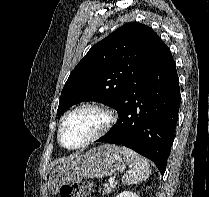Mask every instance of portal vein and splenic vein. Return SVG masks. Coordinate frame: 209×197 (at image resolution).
<instances>
[{
	"instance_id": "18ae733b",
	"label": "portal vein and splenic vein",
	"mask_w": 209,
	"mask_h": 197,
	"mask_svg": "<svg viewBox=\"0 0 209 197\" xmlns=\"http://www.w3.org/2000/svg\"><path fill=\"white\" fill-rule=\"evenodd\" d=\"M108 181L110 184H113L115 182V180L113 178H110Z\"/></svg>"
}]
</instances>
